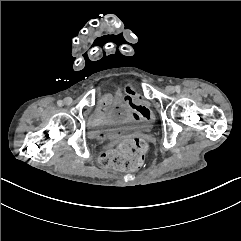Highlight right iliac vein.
Listing matches in <instances>:
<instances>
[{"instance_id": "63e3f726", "label": "right iliac vein", "mask_w": 241, "mask_h": 241, "mask_svg": "<svg viewBox=\"0 0 241 241\" xmlns=\"http://www.w3.org/2000/svg\"><path fill=\"white\" fill-rule=\"evenodd\" d=\"M71 102H72V99H71L70 97H66V98L64 99V103L67 104V105H70Z\"/></svg>"}]
</instances>
